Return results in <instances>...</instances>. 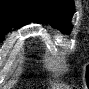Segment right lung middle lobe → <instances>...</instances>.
<instances>
[{
  "mask_svg": "<svg viewBox=\"0 0 89 89\" xmlns=\"http://www.w3.org/2000/svg\"><path fill=\"white\" fill-rule=\"evenodd\" d=\"M9 26H0V42L4 39V35L10 30Z\"/></svg>",
  "mask_w": 89,
  "mask_h": 89,
  "instance_id": "obj_1",
  "label": "right lung middle lobe"
}]
</instances>
